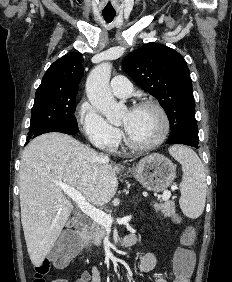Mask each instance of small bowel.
Segmentation results:
<instances>
[{"mask_svg": "<svg viewBox=\"0 0 232 282\" xmlns=\"http://www.w3.org/2000/svg\"><path fill=\"white\" fill-rule=\"evenodd\" d=\"M136 241V236L131 235ZM156 266V257L153 253L148 252L143 255L139 264V270L141 273H148L152 271ZM101 270L99 267L94 266L90 270H85L75 280V282H101ZM52 282H68L65 279H56ZM155 282H168L165 277H158Z\"/></svg>", "mask_w": 232, "mask_h": 282, "instance_id": "c3829d8e", "label": "small bowel"}]
</instances>
